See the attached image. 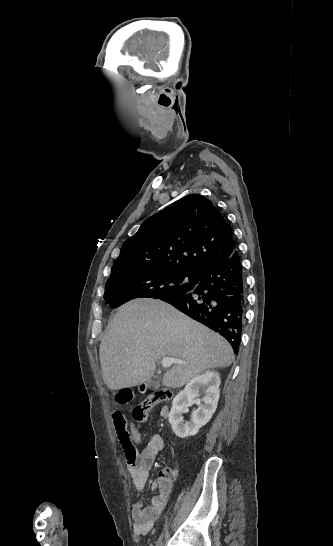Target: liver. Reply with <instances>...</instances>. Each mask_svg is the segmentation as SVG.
Instances as JSON below:
<instances>
[{
    "label": "liver",
    "mask_w": 333,
    "mask_h": 546,
    "mask_svg": "<svg viewBox=\"0 0 333 546\" xmlns=\"http://www.w3.org/2000/svg\"><path fill=\"white\" fill-rule=\"evenodd\" d=\"M99 356L104 383L111 390L150 381L164 357L184 361L174 363L163 377V384L172 388L208 369L230 366L234 359L223 337L154 299H135L118 308Z\"/></svg>",
    "instance_id": "6515ba94"
}]
</instances>
